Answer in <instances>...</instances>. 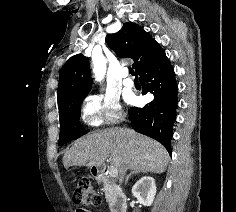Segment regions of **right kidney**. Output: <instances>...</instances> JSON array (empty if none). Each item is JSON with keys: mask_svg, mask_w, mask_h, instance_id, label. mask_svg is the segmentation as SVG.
<instances>
[{"mask_svg": "<svg viewBox=\"0 0 236 212\" xmlns=\"http://www.w3.org/2000/svg\"><path fill=\"white\" fill-rule=\"evenodd\" d=\"M132 194L144 206H151L156 194V184L152 177L145 176L135 183Z\"/></svg>", "mask_w": 236, "mask_h": 212, "instance_id": "right-kidney-1", "label": "right kidney"}]
</instances>
